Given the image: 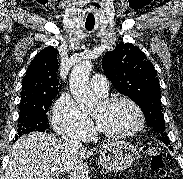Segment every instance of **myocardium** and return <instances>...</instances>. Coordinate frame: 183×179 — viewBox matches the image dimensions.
<instances>
[{
  "instance_id": "myocardium-1",
  "label": "myocardium",
  "mask_w": 183,
  "mask_h": 179,
  "mask_svg": "<svg viewBox=\"0 0 183 179\" xmlns=\"http://www.w3.org/2000/svg\"><path fill=\"white\" fill-rule=\"evenodd\" d=\"M118 102H126L135 109V111L138 115V124L131 131L124 132V133H111V132L101 129L100 126L96 122V129H97L98 133L101 134L102 136L110 138V139H125V138L132 137V136L138 134L144 128L145 123H146L145 114L143 112V109L135 100H133L132 98H130L128 96L109 97V98L104 99L103 104L105 106H111Z\"/></svg>"
}]
</instances>
